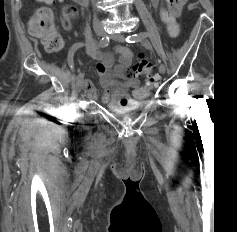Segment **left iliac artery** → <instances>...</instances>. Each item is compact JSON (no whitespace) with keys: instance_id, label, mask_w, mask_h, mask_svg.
I'll use <instances>...</instances> for the list:
<instances>
[{"instance_id":"obj_1","label":"left iliac artery","mask_w":237,"mask_h":232,"mask_svg":"<svg viewBox=\"0 0 237 232\" xmlns=\"http://www.w3.org/2000/svg\"><path fill=\"white\" fill-rule=\"evenodd\" d=\"M151 34L148 32H140L137 34L129 35L126 37V41L128 43H135L143 40L144 38L150 37Z\"/></svg>"}]
</instances>
